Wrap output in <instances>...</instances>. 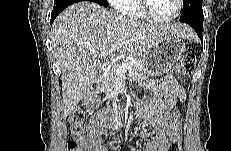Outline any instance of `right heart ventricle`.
Here are the masks:
<instances>
[{"label": "right heart ventricle", "mask_w": 231, "mask_h": 151, "mask_svg": "<svg viewBox=\"0 0 231 151\" xmlns=\"http://www.w3.org/2000/svg\"><path fill=\"white\" fill-rule=\"evenodd\" d=\"M120 11L133 20H143V16L140 14L137 2L135 0H126L122 3Z\"/></svg>", "instance_id": "right-heart-ventricle-1"}]
</instances>
